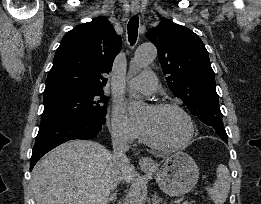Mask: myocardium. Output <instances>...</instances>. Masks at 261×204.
Here are the masks:
<instances>
[{"label": "myocardium", "mask_w": 261, "mask_h": 204, "mask_svg": "<svg viewBox=\"0 0 261 204\" xmlns=\"http://www.w3.org/2000/svg\"><path fill=\"white\" fill-rule=\"evenodd\" d=\"M150 107L157 111L164 110V109H175L178 112H180L188 124V135L182 142H180L178 144H172V145L164 144V143L160 142L147 129V127H145L143 124H141L144 138L149 145H151L152 147L159 149V150L176 151V150L183 149L191 142V140L193 139V137L195 135V125H194V122H193L191 116L189 115V113L186 111V109L184 107H182L178 103L169 102V101L156 102V103L152 104Z\"/></svg>", "instance_id": "obj_1"}]
</instances>
